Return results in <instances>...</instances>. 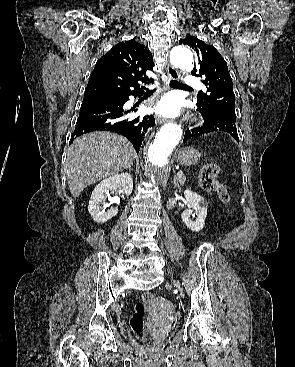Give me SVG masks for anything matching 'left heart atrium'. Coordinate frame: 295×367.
I'll return each mask as SVG.
<instances>
[{"mask_svg": "<svg viewBox=\"0 0 295 367\" xmlns=\"http://www.w3.org/2000/svg\"><path fill=\"white\" fill-rule=\"evenodd\" d=\"M156 111L166 117H175L181 111L180 99L176 95L169 94L158 103Z\"/></svg>", "mask_w": 295, "mask_h": 367, "instance_id": "39dd6f15", "label": "left heart atrium"}]
</instances>
